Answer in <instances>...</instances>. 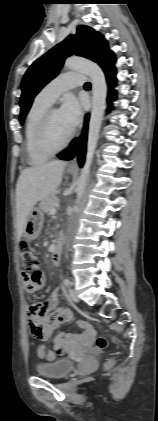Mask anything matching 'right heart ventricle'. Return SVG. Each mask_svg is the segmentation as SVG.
<instances>
[{"mask_svg":"<svg viewBox=\"0 0 158 421\" xmlns=\"http://www.w3.org/2000/svg\"><path fill=\"white\" fill-rule=\"evenodd\" d=\"M50 103L38 96L32 102L25 122V152L30 165L36 166L46 162L50 155L41 152L36 144V131L44 112L50 107Z\"/></svg>","mask_w":158,"mask_h":421,"instance_id":"right-heart-ventricle-1","label":"right heart ventricle"}]
</instances>
